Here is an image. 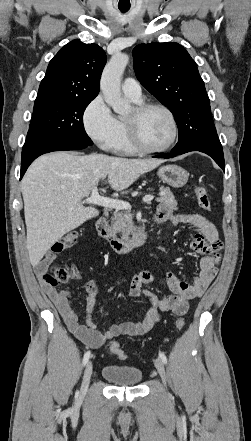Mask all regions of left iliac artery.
<instances>
[{
    "mask_svg": "<svg viewBox=\"0 0 251 441\" xmlns=\"http://www.w3.org/2000/svg\"><path fill=\"white\" fill-rule=\"evenodd\" d=\"M159 358L162 360V362H163L164 364L167 363V358H166V356H165L164 353L159 352Z\"/></svg>",
    "mask_w": 251,
    "mask_h": 441,
    "instance_id": "44dca946",
    "label": "left iliac artery"
}]
</instances>
